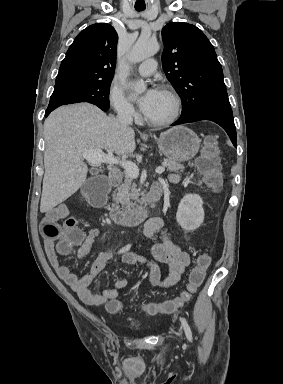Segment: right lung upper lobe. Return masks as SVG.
Returning <instances> with one entry per match:
<instances>
[{
	"label": "right lung upper lobe",
	"instance_id": "1",
	"mask_svg": "<svg viewBox=\"0 0 283 384\" xmlns=\"http://www.w3.org/2000/svg\"><path fill=\"white\" fill-rule=\"evenodd\" d=\"M118 35L107 23L81 31L62 61L55 87L77 82L112 79L116 66Z\"/></svg>",
	"mask_w": 283,
	"mask_h": 384
}]
</instances>
